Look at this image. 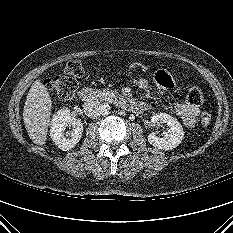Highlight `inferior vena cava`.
<instances>
[{"instance_id": "inferior-vena-cava-1", "label": "inferior vena cava", "mask_w": 233, "mask_h": 233, "mask_svg": "<svg viewBox=\"0 0 233 233\" xmlns=\"http://www.w3.org/2000/svg\"><path fill=\"white\" fill-rule=\"evenodd\" d=\"M84 112L90 118H97L102 114L103 104H100L98 100L87 101L84 103Z\"/></svg>"}]
</instances>
